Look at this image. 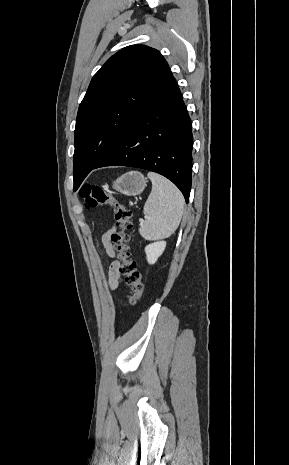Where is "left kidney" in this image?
<instances>
[{
  "mask_svg": "<svg viewBox=\"0 0 289 465\" xmlns=\"http://www.w3.org/2000/svg\"><path fill=\"white\" fill-rule=\"evenodd\" d=\"M166 247L165 241L154 242L145 247L146 258L149 264H154L162 255Z\"/></svg>",
  "mask_w": 289,
  "mask_h": 465,
  "instance_id": "left-kidney-1",
  "label": "left kidney"
}]
</instances>
